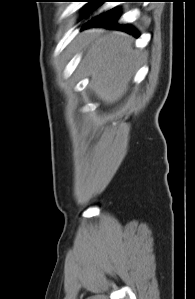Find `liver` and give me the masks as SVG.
<instances>
[{"instance_id": "liver-1", "label": "liver", "mask_w": 195, "mask_h": 299, "mask_svg": "<svg viewBox=\"0 0 195 299\" xmlns=\"http://www.w3.org/2000/svg\"><path fill=\"white\" fill-rule=\"evenodd\" d=\"M74 47L83 54L81 67L91 78L95 95L107 105L122 99L140 57L132 37L118 31L87 30L78 35Z\"/></svg>"}]
</instances>
